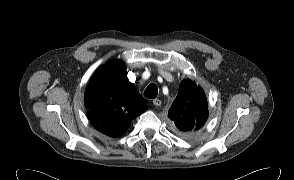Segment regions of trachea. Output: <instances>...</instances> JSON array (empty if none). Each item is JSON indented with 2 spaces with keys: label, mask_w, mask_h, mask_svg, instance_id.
I'll return each mask as SVG.
<instances>
[{
  "label": "trachea",
  "mask_w": 294,
  "mask_h": 180,
  "mask_svg": "<svg viewBox=\"0 0 294 180\" xmlns=\"http://www.w3.org/2000/svg\"><path fill=\"white\" fill-rule=\"evenodd\" d=\"M158 94V88L155 84H150L144 91V95L147 98H156Z\"/></svg>",
  "instance_id": "1"
}]
</instances>
